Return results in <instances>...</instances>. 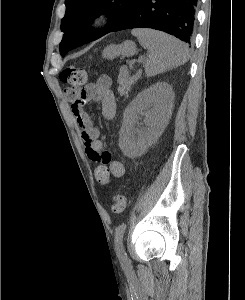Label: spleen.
<instances>
[{"instance_id": "spleen-1", "label": "spleen", "mask_w": 245, "mask_h": 300, "mask_svg": "<svg viewBox=\"0 0 245 300\" xmlns=\"http://www.w3.org/2000/svg\"><path fill=\"white\" fill-rule=\"evenodd\" d=\"M132 34L149 52L145 62V73L148 77L188 61L189 54L186 46L166 33L151 29H135L132 30Z\"/></svg>"}]
</instances>
